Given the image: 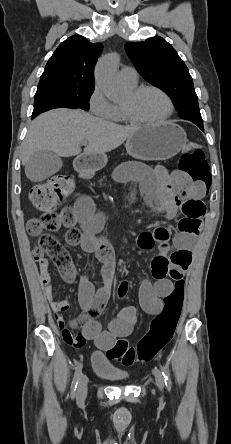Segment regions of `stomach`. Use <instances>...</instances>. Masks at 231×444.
I'll return each mask as SVG.
<instances>
[{"mask_svg":"<svg viewBox=\"0 0 231 444\" xmlns=\"http://www.w3.org/2000/svg\"><path fill=\"white\" fill-rule=\"evenodd\" d=\"M186 133L173 122L147 125L127 139V153L141 160H167L175 156L186 144ZM107 163L105 154L80 155L75 168L82 174H92Z\"/></svg>","mask_w":231,"mask_h":444,"instance_id":"0dacf381","label":"stomach"}]
</instances>
